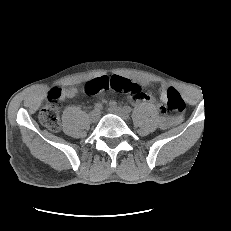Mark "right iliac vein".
<instances>
[{
	"instance_id": "1",
	"label": "right iliac vein",
	"mask_w": 231,
	"mask_h": 231,
	"mask_svg": "<svg viewBox=\"0 0 231 231\" xmlns=\"http://www.w3.org/2000/svg\"><path fill=\"white\" fill-rule=\"evenodd\" d=\"M99 116H100L99 112L95 111V110L91 111L90 114H89L90 120L93 123H95V122H97L99 120Z\"/></svg>"
}]
</instances>
